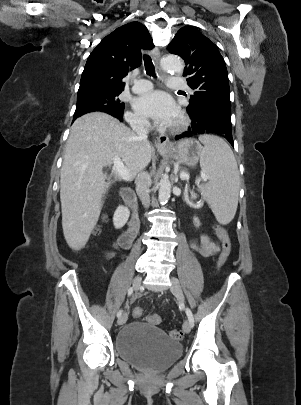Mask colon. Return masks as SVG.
<instances>
[{
  "mask_svg": "<svg viewBox=\"0 0 301 405\" xmlns=\"http://www.w3.org/2000/svg\"><path fill=\"white\" fill-rule=\"evenodd\" d=\"M213 230H214L216 236L221 241V245H222L221 253L219 255L218 262H217V267H218V269H220L226 263V261L228 260L230 254H231V249H232L231 240L229 238L227 231L223 227H221L219 225H214ZM98 231L99 230L96 229L95 233H98ZM133 316L138 319L145 317V319L153 325H158L161 323V317L159 314L151 313V314H148L145 316L143 309L140 307L134 308ZM170 336L175 340H181L183 337L181 331H179V330H172L170 332Z\"/></svg>",
  "mask_w": 301,
  "mask_h": 405,
  "instance_id": "obj_1",
  "label": "colon"
}]
</instances>
